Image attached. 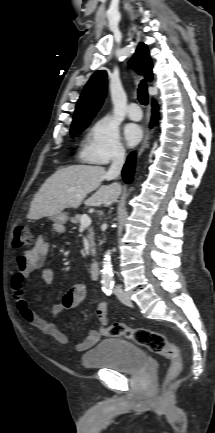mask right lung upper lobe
<instances>
[{
    "instance_id": "obj_1",
    "label": "right lung upper lobe",
    "mask_w": 215,
    "mask_h": 433,
    "mask_svg": "<svg viewBox=\"0 0 215 433\" xmlns=\"http://www.w3.org/2000/svg\"><path fill=\"white\" fill-rule=\"evenodd\" d=\"M129 64L139 73H142L146 80H152V61L149 56L148 48L144 43L139 44ZM106 77V71L99 70L90 78L78 100L72 123L91 121L95 116L106 95Z\"/></svg>"
}]
</instances>
